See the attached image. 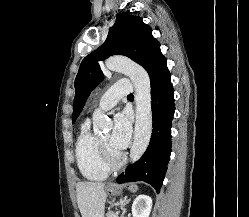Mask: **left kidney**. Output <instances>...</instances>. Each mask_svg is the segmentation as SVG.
I'll use <instances>...</instances> for the list:
<instances>
[{"instance_id": "left-kidney-1", "label": "left kidney", "mask_w": 249, "mask_h": 217, "mask_svg": "<svg viewBox=\"0 0 249 217\" xmlns=\"http://www.w3.org/2000/svg\"><path fill=\"white\" fill-rule=\"evenodd\" d=\"M152 208V199L145 194L138 195L132 204L133 217H149Z\"/></svg>"}]
</instances>
